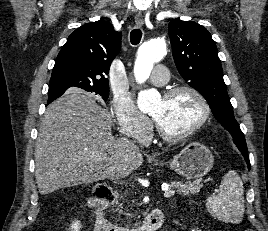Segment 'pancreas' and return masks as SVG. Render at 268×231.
<instances>
[{"mask_svg": "<svg viewBox=\"0 0 268 231\" xmlns=\"http://www.w3.org/2000/svg\"><path fill=\"white\" fill-rule=\"evenodd\" d=\"M171 188L177 189V192L181 195H189V194H197L200 192V189L202 187V184L199 182H181V181H174L170 185ZM113 207H118L116 210L118 214L120 215L122 213V210L119 208H122V204L119 203L118 200V194L115 196L113 202Z\"/></svg>", "mask_w": 268, "mask_h": 231, "instance_id": "1", "label": "pancreas"}]
</instances>
